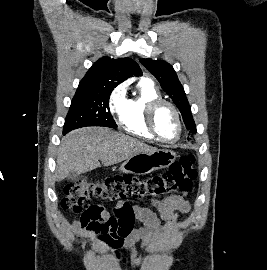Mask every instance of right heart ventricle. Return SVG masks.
Wrapping results in <instances>:
<instances>
[{"label":"right heart ventricle","instance_id":"e07e8e85","mask_svg":"<svg viewBox=\"0 0 267 270\" xmlns=\"http://www.w3.org/2000/svg\"><path fill=\"white\" fill-rule=\"evenodd\" d=\"M138 88L139 94L126 101L119 117V123L129 134L149 142H155L156 139L146 126L145 116L148 104L153 100L162 99L161 94L155 84L147 78L139 82Z\"/></svg>","mask_w":267,"mask_h":270}]
</instances>
